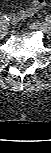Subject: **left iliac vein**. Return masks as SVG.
<instances>
[{
    "label": "left iliac vein",
    "mask_w": 51,
    "mask_h": 153,
    "mask_svg": "<svg viewBox=\"0 0 51 153\" xmlns=\"http://www.w3.org/2000/svg\"><path fill=\"white\" fill-rule=\"evenodd\" d=\"M31 29H34V30H39L43 33H47V34H50L51 33V27L49 24L47 23H36V24H32L30 26Z\"/></svg>",
    "instance_id": "4c4485c4"
}]
</instances>
